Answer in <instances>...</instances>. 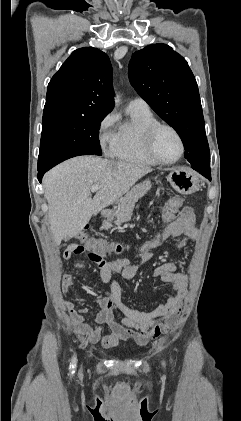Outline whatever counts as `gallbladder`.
Returning <instances> with one entry per match:
<instances>
[{
	"mask_svg": "<svg viewBox=\"0 0 241 421\" xmlns=\"http://www.w3.org/2000/svg\"><path fill=\"white\" fill-rule=\"evenodd\" d=\"M68 240V238L64 239V241L66 242Z\"/></svg>",
	"mask_w": 241,
	"mask_h": 421,
	"instance_id": "1",
	"label": "gallbladder"
}]
</instances>
